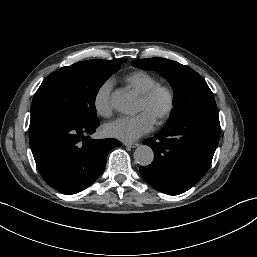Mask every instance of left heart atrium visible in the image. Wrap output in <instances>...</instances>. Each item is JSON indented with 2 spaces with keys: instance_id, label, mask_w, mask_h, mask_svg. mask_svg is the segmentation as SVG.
Wrapping results in <instances>:
<instances>
[{
  "instance_id": "1",
  "label": "left heart atrium",
  "mask_w": 257,
  "mask_h": 257,
  "mask_svg": "<svg viewBox=\"0 0 257 257\" xmlns=\"http://www.w3.org/2000/svg\"><path fill=\"white\" fill-rule=\"evenodd\" d=\"M156 121L147 113L141 112L134 117H121L107 123L104 132L108 137L125 142H133L150 133Z\"/></svg>"
}]
</instances>
